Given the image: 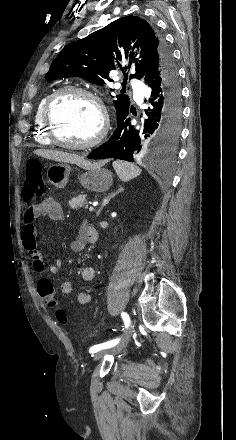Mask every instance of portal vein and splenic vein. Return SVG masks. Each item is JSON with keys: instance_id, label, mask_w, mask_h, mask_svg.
<instances>
[{"instance_id": "obj_1", "label": "portal vein and splenic vein", "mask_w": 236, "mask_h": 440, "mask_svg": "<svg viewBox=\"0 0 236 440\" xmlns=\"http://www.w3.org/2000/svg\"><path fill=\"white\" fill-rule=\"evenodd\" d=\"M94 210V205L89 207V211L92 212Z\"/></svg>"}]
</instances>
